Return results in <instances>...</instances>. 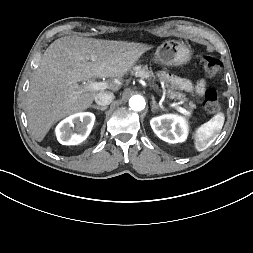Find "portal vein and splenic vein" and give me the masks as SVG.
I'll return each mask as SVG.
<instances>
[{
	"mask_svg": "<svg viewBox=\"0 0 253 253\" xmlns=\"http://www.w3.org/2000/svg\"><path fill=\"white\" fill-rule=\"evenodd\" d=\"M109 84L106 82H89L88 84L84 85L82 90L83 91H101L107 89ZM177 110L184 114L188 115V111L181 106H177Z\"/></svg>",
	"mask_w": 253,
	"mask_h": 253,
	"instance_id": "portal-vein-and-splenic-vein-1",
	"label": "portal vein and splenic vein"
}]
</instances>
